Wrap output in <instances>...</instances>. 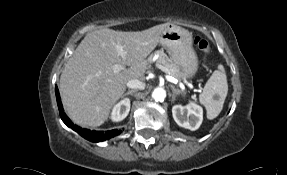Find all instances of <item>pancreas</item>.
<instances>
[{
    "label": "pancreas",
    "instance_id": "1",
    "mask_svg": "<svg viewBox=\"0 0 287 175\" xmlns=\"http://www.w3.org/2000/svg\"><path fill=\"white\" fill-rule=\"evenodd\" d=\"M155 55L158 56L156 64L164 66L167 69L169 75L178 77L179 68L162 50H158L154 54H151L149 61H152Z\"/></svg>",
    "mask_w": 287,
    "mask_h": 175
}]
</instances>
